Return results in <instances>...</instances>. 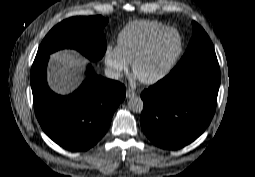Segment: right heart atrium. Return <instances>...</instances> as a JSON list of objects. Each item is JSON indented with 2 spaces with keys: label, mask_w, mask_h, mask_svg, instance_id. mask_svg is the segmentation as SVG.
<instances>
[{
  "label": "right heart atrium",
  "mask_w": 255,
  "mask_h": 177,
  "mask_svg": "<svg viewBox=\"0 0 255 177\" xmlns=\"http://www.w3.org/2000/svg\"><path fill=\"white\" fill-rule=\"evenodd\" d=\"M104 58L111 74L115 78L121 77L129 69V62L123 55L119 46L112 44L107 45Z\"/></svg>",
  "instance_id": "d8ad5b80"
}]
</instances>
